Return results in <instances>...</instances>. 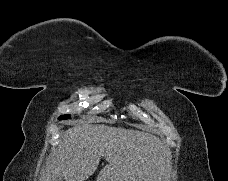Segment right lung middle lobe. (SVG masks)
I'll return each mask as SVG.
<instances>
[{
	"instance_id": "obj_1",
	"label": "right lung middle lobe",
	"mask_w": 228,
	"mask_h": 181,
	"mask_svg": "<svg viewBox=\"0 0 228 181\" xmlns=\"http://www.w3.org/2000/svg\"><path fill=\"white\" fill-rule=\"evenodd\" d=\"M68 118H70L69 115H62V116H60L58 119H59V120H62V119H68Z\"/></svg>"
}]
</instances>
